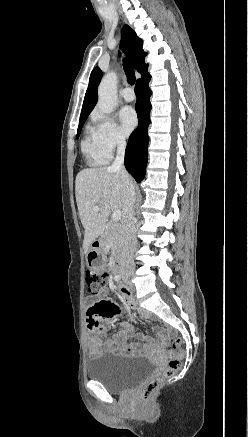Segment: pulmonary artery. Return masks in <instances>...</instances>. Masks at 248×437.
Segmentation results:
<instances>
[{"label": "pulmonary artery", "mask_w": 248, "mask_h": 437, "mask_svg": "<svg viewBox=\"0 0 248 437\" xmlns=\"http://www.w3.org/2000/svg\"><path fill=\"white\" fill-rule=\"evenodd\" d=\"M122 96L126 101H129V102L133 101L135 98V95H134L132 89L129 87H126L123 89Z\"/></svg>", "instance_id": "1"}]
</instances>
